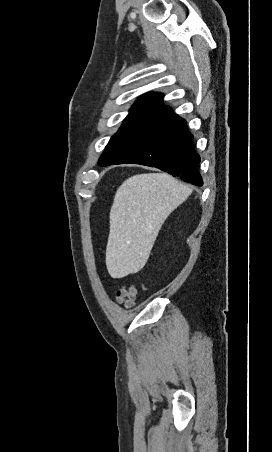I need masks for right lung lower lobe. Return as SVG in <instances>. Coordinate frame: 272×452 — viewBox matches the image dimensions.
<instances>
[{
    "label": "right lung lower lobe",
    "instance_id": "right-lung-lower-lobe-1",
    "mask_svg": "<svg viewBox=\"0 0 272 452\" xmlns=\"http://www.w3.org/2000/svg\"><path fill=\"white\" fill-rule=\"evenodd\" d=\"M200 157L186 121L174 113L161 115L113 165L141 164L159 168L183 181L202 186Z\"/></svg>",
    "mask_w": 272,
    "mask_h": 452
}]
</instances>
